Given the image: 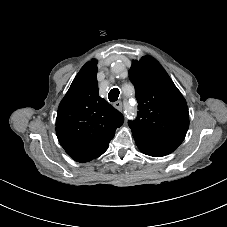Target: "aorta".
<instances>
[{
    "mask_svg": "<svg viewBox=\"0 0 227 227\" xmlns=\"http://www.w3.org/2000/svg\"><path fill=\"white\" fill-rule=\"evenodd\" d=\"M114 70L116 75H120L124 72V67L121 63H117Z\"/></svg>",
    "mask_w": 227,
    "mask_h": 227,
    "instance_id": "762f6f07",
    "label": "aorta"
}]
</instances>
